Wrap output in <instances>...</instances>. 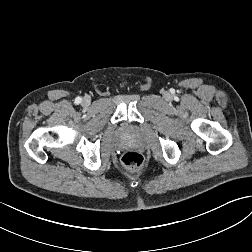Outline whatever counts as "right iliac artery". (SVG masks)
I'll list each match as a JSON object with an SVG mask.
<instances>
[{
    "label": "right iliac artery",
    "mask_w": 252,
    "mask_h": 252,
    "mask_svg": "<svg viewBox=\"0 0 252 252\" xmlns=\"http://www.w3.org/2000/svg\"><path fill=\"white\" fill-rule=\"evenodd\" d=\"M81 97H77L76 99H75V102L78 104V103H80L81 102Z\"/></svg>",
    "instance_id": "1"
}]
</instances>
